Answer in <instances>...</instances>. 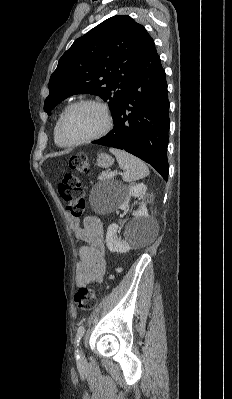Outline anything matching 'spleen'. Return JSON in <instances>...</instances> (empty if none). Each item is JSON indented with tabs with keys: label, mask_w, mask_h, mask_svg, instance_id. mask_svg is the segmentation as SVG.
<instances>
[{
	"label": "spleen",
	"mask_w": 232,
	"mask_h": 399,
	"mask_svg": "<svg viewBox=\"0 0 232 399\" xmlns=\"http://www.w3.org/2000/svg\"><path fill=\"white\" fill-rule=\"evenodd\" d=\"M109 152L114 154L119 168L124 170L122 178L124 182H136V180H141V178H146L149 174V170L141 160L123 152V150H115V148H110Z\"/></svg>",
	"instance_id": "3e777b00"
}]
</instances>
